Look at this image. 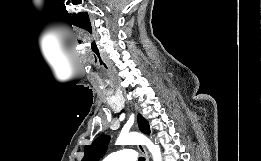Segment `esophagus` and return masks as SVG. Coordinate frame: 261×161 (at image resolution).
<instances>
[{"mask_svg": "<svg viewBox=\"0 0 261 161\" xmlns=\"http://www.w3.org/2000/svg\"><path fill=\"white\" fill-rule=\"evenodd\" d=\"M139 151L144 155L146 161H149V155L144 146H138Z\"/></svg>", "mask_w": 261, "mask_h": 161, "instance_id": "1", "label": "esophagus"}]
</instances>
